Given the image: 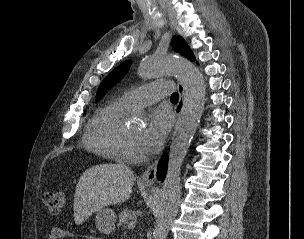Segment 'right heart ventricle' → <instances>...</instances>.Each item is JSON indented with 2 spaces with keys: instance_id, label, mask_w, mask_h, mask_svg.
Wrapping results in <instances>:
<instances>
[{
  "instance_id": "1",
  "label": "right heart ventricle",
  "mask_w": 304,
  "mask_h": 239,
  "mask_svg": "<svg viewBox=\"0 0 304 239\" xmlns=\"http://www.w3.org/2000/svg\"><path fill=\"white\" fill-rule=\"evenodd\" d=\"M129 109L120 99L100 108L86 125L84 147L107 160L121 161L120 142L125 130L122 117Z\"/></svg>"
}]
</instances>
